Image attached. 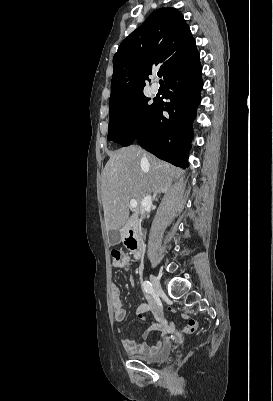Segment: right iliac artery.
Listing matches in <instances>:
<instances>
[{
    "mask_svg": "<svg viewBox=\"0 0 273 401\" xmlns=\"http://www.w3.org/2000/svg\"><path fill=\"white\" fill-rule=\"evenodd\" d=\"M143 289L146 291V293H153V287L152 284L149 281H144L143 284Z\"/></svg>",
    "mask_w": 273,
    "mask_h": 401,
    "instance_id": "right-iliac-artery-1",
    "label": "right iliac artery"
}]
</instances>
